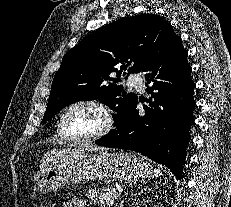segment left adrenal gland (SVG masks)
Segmentation results:
<instances>
[{"label":"left adrenal gland","mask_w":231,"mask_h":207,"mask_svg":"<svg viewBox=\"0 0 231 207\" xmlns=\"http://www.w3.org/2000/svg\"><path fill=\"white\" fill-rule=\"evenodd\" d=\"M151 190H152V188L146 187V188H144V190H142L139 193H137V192L133 193L132 192L131 197L129 199H123V200L120 201L119 207H123L125 202H129L132 198H136L137 195H140L144 191L146 192V191H151Z\"/></svg>","instance_id":"a2214340"}]
</instances>
